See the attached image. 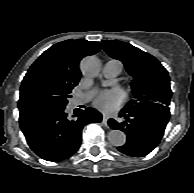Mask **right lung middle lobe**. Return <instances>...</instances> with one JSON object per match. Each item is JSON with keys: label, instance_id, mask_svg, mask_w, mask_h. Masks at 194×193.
Returning a JSON list of instances; mask_svg holds the SVG:
<instances>
[{"label": "right lung middle lobe", "instance_id": "right-lung-middle-lobe-1", "mask_svg": "<svg viewBox=\"0 0 194 193\" xmlns=\"http://www.w3.org/2000/svg\"><path fill=\"white\" fill-rule=\"evenodd\" d=\"M73 87L60 84H48L38 88L35 95L27 100L19 102L20 111L35 109L64 108Z\"/></svg>", "mask_w": 194, "mask_h": 193}]
</instances>
